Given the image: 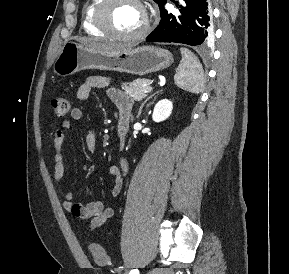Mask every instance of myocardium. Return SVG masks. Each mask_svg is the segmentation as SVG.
<instances>
[{
    "instance_id": "1",
    "label": "myocardium",
    "mask_w": 289,
    "mask_h": 274,
    "mask_svg": "<svg viewBox=\"0 0 289 274\" xmlns=\"http://www.w3.org/2000/svg\"><path fill=\"white\" fill-rule=\"evenodd\" d=\"M127 1L138 4L145 12V24L141 30L133 34H122L115 31L109 23V12L118 2ZM94 23L105 35L119 41H137L144 38L150 30V17L142 0H100L94 11Z\"/></svg>"
}]
</instances>
